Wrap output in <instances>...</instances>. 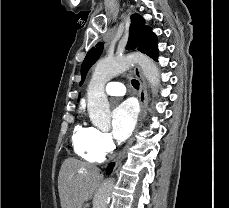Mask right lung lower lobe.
I'll return each instance as SVG.
<instances>
[{
    "label": "right lung lower lobe",
    "instance_id": "obj_1",
    "mask_svg": "<svg viewBox=\"0 0 229 208\" xmlns=\"http://www.w3.org/2000/svg\"><path fill=\"white\" fill-rule=\"evenodd\" d=\"M112 168H113V164L111 163V164L108 166L106 173L109 174V173L112 171Z\"/></svg>",
    "mask_w": 229,
    "mask_h": 208
}]
</instances>
